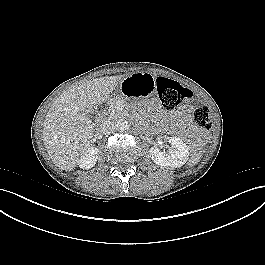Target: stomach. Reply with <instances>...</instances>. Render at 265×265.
I'll use <instances>...</instances> for the list:
<instances>
[{
	"label": "stomach",
	"instance_id": "1",
	"mask_svg": "<svg viewBox=\"0 0 265 265\" xmlns=\"http://www.w3.org/2000/svg\"><path fill=\"white\" fill-rule=\"evenodd\" d=\"M154 89V78L147 73H135L121 81L118 93L130 100H139L149 95Z\"/></svg>",
	"mask_w": 265,
	"mask_h": 265
}]
</instances>
